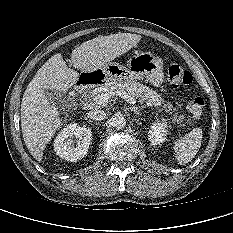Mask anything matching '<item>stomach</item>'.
I'll use <instances>...</instances> for the list:
<instances>
[{
    "mask_svg": "<svg viewBox=\"0 0 233 233\" xmlns=\"http://www.w3.org/2000/svg\"><path fill=\"white\" fill-rule=\"evenodd\" d=\"M101 82L128 81L146 79L151 85L159 87L164 79L161 60L150 52L139 53L131 57L126 66L109 62L91 73Z\"/></svg>",
    "mask_w": 233,
    "mask_h": 233,
    "instance_id": "obj_1",
    "label": "stomach"
}]
</instances>
